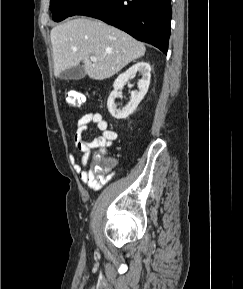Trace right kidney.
Returning a JSON list of instances; mask_svg holds the SVG:
<instances>
[{
	"label": "right kidney",
	"instance_id": "ca27d5eb",
	"mask_svg": "<svg viewBox=\"0 0 243 289\" xmlns=\"http://www.w3.org/2000/svg\"><path fill=\"white\" fill-rule=\"evenodd\" d=\"M137 72H140L142 74V78L138 81L139 91L132 92L129 103L124 108L118 109L117 105L115 104V99L119 95V90H121L124 84L130 78H132ZM150 72L151 67L149 63L141 61L134 64L126 72L120 74L117 77V79L113 84L114 90L109 95L107 101L108 110L114 118L125 119L134 112V110L137 108V106L139 105V103L141 102V100L144 98V96L148 91L151 78Z\"/></svg>",
	"mask_w": 243,
	"mask_h": 289
}]
</instances>
